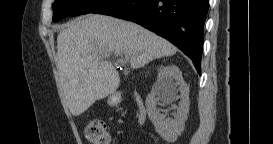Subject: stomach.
I'll list each match as a JSON object with an SVG mask.
<instances>
[{
  "label": "stomach",
  "instance_id": "1",
  "mask_svg": "<svg viewBox=\"0 0 273 144\" xmlns=\"http://www.w3.org/2000/svg\"><path fill=\"white\" fill-rule=\"evenodd\" d=\"M120 102V96L118 94H112L108 97V104L116 106Z\"/></svg>",
  "mask_w": 273,
  "mask_h": 144
}]
</instances>
